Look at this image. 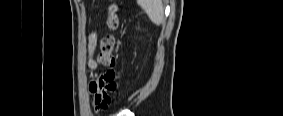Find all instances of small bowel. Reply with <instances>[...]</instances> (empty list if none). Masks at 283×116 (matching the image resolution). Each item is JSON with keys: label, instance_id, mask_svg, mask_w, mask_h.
Returning a JSON list of instances; mask_svg holds the SVG:
<instances>
[{"label": "small bowel", "instance_id": "1", "mask_svg": "<svg viewBox=\"0 0 283 116\" xmlns=\"http://www.w3.org/2000/svg\"><path fill=\"white\" fill-rule=\"evenodd\" d=\"M96 48V34L93 33L90 36L89 39V67L93 71L97 68V62L93 58V52ZM109 83H107L105 80L101 79V76H97L94 73L91 75V80L89 82V92L92 95L93 104L95 106L98 102H103L107 100L108 98H111L109 95Z\"/></svg>", "mask_w": 283, "mask_h": 116}]
</instances>
